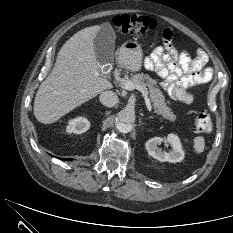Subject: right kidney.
<instances>
[{"label": "right kidney", "instance_id": "ca27d5eb", "mask_svg": "<svg viewBox=\"0 0 233 233\" xmlns=\"http://www.w3.org/2000/svg\"><path fill=\"white\" fill-rule=\"evenodd\" d=\"M90 127V122L84 117H77L68 122L66 131L68 133L81 134L86 132Z\"/></svg>", "mask_w": 233, "mask_h": 233}]
</instances>
